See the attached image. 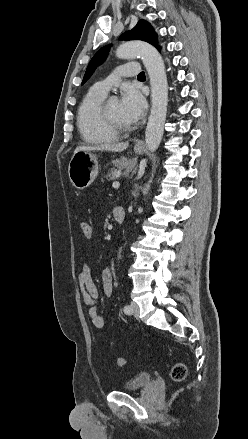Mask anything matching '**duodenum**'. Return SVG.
Instances as JSON below:
<instances>
[{
	"mask_svg": "<svg viewBox=\"0 0 248 439\" xmlns=\"http://www.w3.org/2000/svg\"><path fill=\"white\" fill-rule=\"evenodd\" d=\"M113 218L115 222L122 223L125 218V211L122 207H115L113 209Z\"/></svg>",
	"mask_w": 248,
	"mask_h": 439,
	"instance_id": "1",
	"label": "duodenum"
}]
</instances>
